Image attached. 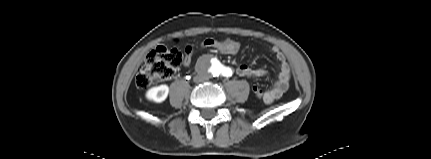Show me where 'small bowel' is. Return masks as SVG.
<instances>
[{"label": "small bowel", "instance_id": "c3829d8e", "mask_svg": "<svg viewBox=\"0 0 431 159\" xmlns=\"http://www.w3.org/2000/svg\"><path fill=\"white\" fill-rule=\"evenodd\" d=\"M201 46L203 48H214L224 50L226 48L236 49L239 51L240 44L237 41L226 39V40H214V39H206ZM270 51L275 54L276 59L279 63V74L278 79L275 82L272 89L265 91V94L261 98L264 103L271 104L275 100L279 99L288 89L290 79H291V71L288 63L285 60L284 55L276 48H270ZM193 49L191 47L186 48L185 57L183 64L184 66H190L192 62ZM236 73L241 77H263L266 76L267 72L264 69H252L247 64H240Z\"/></svg>", "mask_w": 431, "mask_h": 159}]
</instances>
